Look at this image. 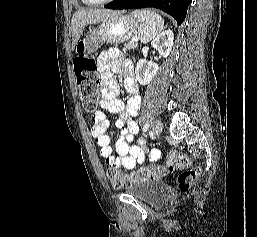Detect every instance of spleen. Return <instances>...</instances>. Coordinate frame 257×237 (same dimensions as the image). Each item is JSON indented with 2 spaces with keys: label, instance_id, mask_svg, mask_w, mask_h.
Segmentation results:
<instances>
[{
  "label": "spleen",
  "instance_id": "3e777b00",
  "mask_svg": "<svg viewBox=\"0 0 257 237\" xmlns=\"http://www.w3.org/2000/svg\"><path fill=\"white\" fill-rule=\"evenodd\" d=\"M132 15L140 22L138 35L142 43L150 42L163 30V18L153 11L136 10Z\"/></svg>",
  "mask_w": 257,
  "mask_h": 237
}]
</instances>
